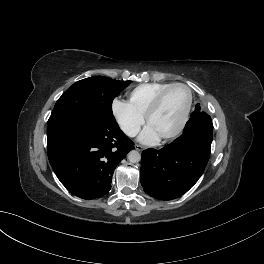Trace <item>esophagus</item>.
Returning a JSON list of instances; mask_svg holds the SVG:
<instances>
[{
  "instance_id": "obj_1",
  "label": "esophagus",
  "mask_w": 264,
  "mask_h": 264,
  "mask_svg": "<svg viewBox=\"0 0 264 264\" xmlns=\"http://www.w3.org/2000/svg\"><path fill=\"white\" fill-rule=\"evenodd\" d=\"M134 147L138 151H143L145 149L142 145H139V144H136Z\"/></svg>"
}]
</instances>
